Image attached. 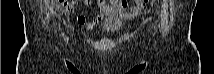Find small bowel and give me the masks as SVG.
<instances>
[{
    "mask_svg": "<svg viewBox=\"0 0 214 74\" xmlns=\"http://www.w3.org/2000/svg\"><path fill=\"white\" fill-rule=\"evenodd\" d=\"M80 2L79 1H69L68 7L73 9ZM87 6L93 5L95 11L91 15H86L81 13L77 16V22L79 25L84 26L86 30H92L106 15H114L121 19H126L129 17L136 16L140 13L141 8L139 5L130 6L129 11L127 10V4L125 2L106 4L104 1H85Z\"/></svg>",
    "mask_w": 214,
    "mask_h": 74,
    "instance_id": "small-bowel-1",
    "label": "small bowel"
}]
</instances>
